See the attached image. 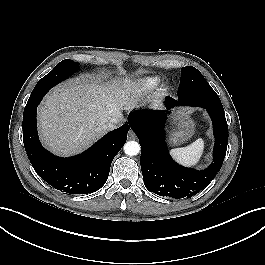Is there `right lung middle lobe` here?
<instances>
[{
    "label": "right lung middle lobe",
    "instance_id": "1",
    "mask_svg": "<svg viewBox=\"0 0 265 265\" xmlns=\"http://www.w3.org/2000/svg\"><path fill=\"white\" fill-rule=\"evenodd\" d=\"M77 64L78 63L73 62L69 59L63 60L58 63L51 72L40 79L36 84L25 109L31 107L32 103L35 101V98H37L40 93H47L49 89H51L57 83H60L63 80L69 78L70 75H72L76 70L79 69Z\"/></svg>",
    "mask_w": 265,
    "mask_h": 265
}]
</instances>
